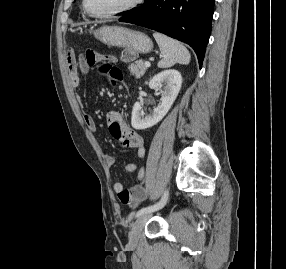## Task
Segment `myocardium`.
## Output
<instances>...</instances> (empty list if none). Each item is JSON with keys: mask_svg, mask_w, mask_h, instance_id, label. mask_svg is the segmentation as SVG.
I'll list each match as a JSON object with an SVG mask.
<instances>
[{"mask_svg": "<svg viewBox=\"0 0 286 269\" xmlns=\"http://www.w3.org/2000/svg\"><path fill=\"white\" fill-rule=\"evenodd\" d=\"M143 2H144V0H131L129 3H127L125 6L119 8V9H116V10H113V11H110L107 13H102V14L92 13L88 8L87 0H82V5H83V9H84L85 13L88 16H90L92 18H96V19H108V18H112V17L118 16V15L130 12L133 9L137 8L139 5H141Z\"/></svg>", "mask_w": 286, "mask_h": 269, "instance_id": "obj_1", "label": "myocardium"}]
</instances>
